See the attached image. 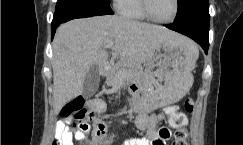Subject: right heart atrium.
Here are the masks:
<instances>
[{"label":"right heart atrium","instance_id":"obj_1","mask_svg":"<svg viewBox=\"0 0 243 145\" xmlns=\"http://www.w3.org/2000/svg\"><path fill=\"white\" fill-rule=\"evenodd\" d=\"M115 4H117L119 2V0H114Z\"/></svg>","mask_w":243,"mask_h":145}]
</instances>
